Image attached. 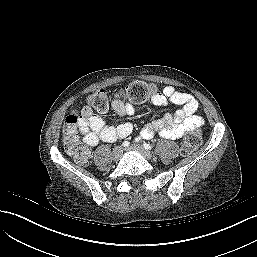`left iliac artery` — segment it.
<instances>
[{"instance_id": "1", "label": "left iliac artery", "mask_w": 257, "mask_h": 257, "mask_svg": "<svg viewBox=\"0 0 257 257\" xmlns=\"http://www.w3.org/2000/svg\"><path fill=\"white\" fill-rule=\"evenodd\" d=\"M143 147L147 150H151L152 149V146L150 144H147V143H144L143 144Z\"/></svg>"}]
</instances>
